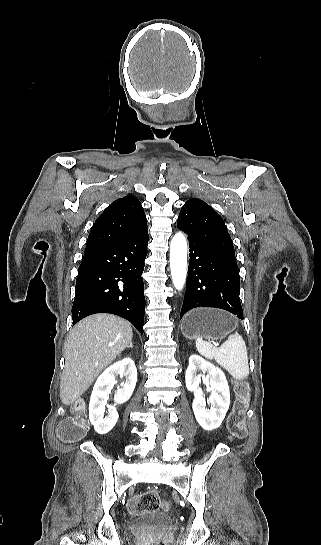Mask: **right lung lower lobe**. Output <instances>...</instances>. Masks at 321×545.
<instances>
[{
	"label": "right lung lower lobe",
	"instance_id": "98d812e1",
	"mask_svg": "<svg viewBox=\"0 0 321 545\" xmlns=\"http://www.w3.org/2000/svg\"><path fill=\"white\" fill-rule=\"evenodd\" d=\"M148 240L146 228L124 241L85 251L76 280L73 325L91 314L112 313L129 320L143 334L141 275Z\"/></svg>",
	"mask_w": 321,
	"mask_h": 545
}]
</instances>
